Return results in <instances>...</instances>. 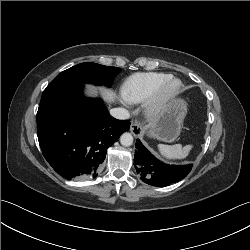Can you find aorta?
<instances>
[{"instance_id":"1","label":"aorta","mask_w":250,"mask_h":250,"mask_svg":"<svg viewBox=\"0 0 250 250\" xmlns=\"http://www.w3.org/2000/svg\"><path fill=\"white\" fill-rule=\"evenodd\" d=\"M120 143L123 146H131L133 143V136L130 133H123L120 137Z\"/></svg>"}]
</instances>
